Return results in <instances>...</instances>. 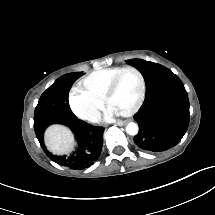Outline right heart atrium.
Listing matches in <instances>:
<instances>
[{"label":"right heart atrium","instance_id":"obj_1","mask_svg":"<svg viewBox=\"0 0 215 215\" xmlns=\"http://www.w3.org/2000/svg\"><path fill=\"white\" fill-rule=\"evenodd\" d=\"M69 105L82 120L95 122L101 110L100 102L92 95L73 87L69 94Z\"/></svg>","mask_w":215,"mask_h":215}]
</instances>
